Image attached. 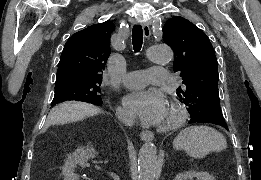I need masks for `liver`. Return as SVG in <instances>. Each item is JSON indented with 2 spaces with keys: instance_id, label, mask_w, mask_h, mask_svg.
I'll use <instances>...</instances> for the list:
<instances>
[{
  "instance_id": "liver-1",
  "label": "liver",
  "mask_w": 261,
  "mask_h": 180,
  "mask_svg": "<svg viewBox=\"0 0 261 180\" xmlns=\"http://www.w3.org/2000/svg\"><path fill=\"white\" fill-rule=\"evenodd\" d=\"M76 102H65V104H60L58 108H53L55 114H67L70 106H73ZM84 110H86V116H93V114H97L99 110L95 108V106H89V104H83ZM84 118V116H82ZM82 118H78V120H82ZM75 122V120H73Z\"/></svg>"
}]
</instances>
